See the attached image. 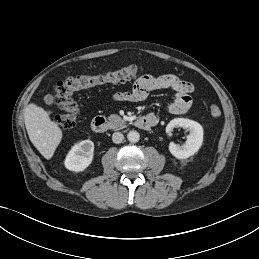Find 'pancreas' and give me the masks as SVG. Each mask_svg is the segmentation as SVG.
Masks as SVG:
<instances>
[{"label": "pancreas", "instance_id": "cf45deb5", "mask_svg": "<svg viewBox=\"0 0 259 259\" xmlns=\"http://www.w3.org/2000/svg\"><path fill=\"white\" fill-rule=\"evenodd\" d=\"M111 129H122L125 126V121L117 114H111L108 117Z\"/></svg>", "mask_w": 259, "mask_h": 259}]
</instances>
